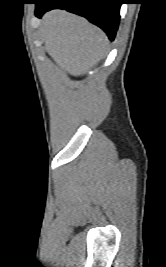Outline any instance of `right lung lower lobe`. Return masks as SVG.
Here are the masks:
<instances>
[{
  "label": "right lung lower lobe",
  "mask_w": 166,
  "mask_h": 267,
  "mask_svg": "<svg viewBox=\"0 0 166 267\" xmlns=\"http://www.w3.org/2000/svg\"><path fill=\"white\" fill-rule=\"evenodd\" d=\"M122 0H38L35 15L41 17L51 9H65L86 17L114 40L120 19Z\"/></svg>",
  "instance_id": "1"
}]
</instances>
